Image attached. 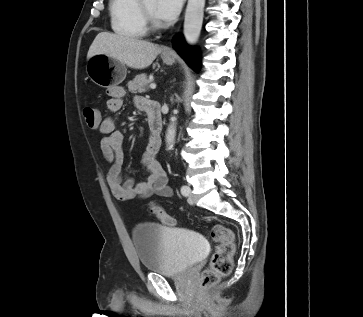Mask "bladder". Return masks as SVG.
Wrapping results in <instances>:
<instances>
[{"label": "bladder", "instance_id": "31cf9c89", "mask_svg": "<svg viewBox=\"0 0 363 317\" xmlns=\"http://www.w3.org/2000/svg\"><path fill=\"white\" fill-rule=\"evenodd\" d=\"M132 240L142 268L161 275L181 274L203 259L209 251L203 234L157 223L135 226Z\"/></svg>", "mask_w": 363, "mask_h": 317}]
</instances>
